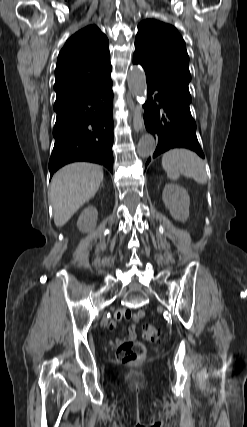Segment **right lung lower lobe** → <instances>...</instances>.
Segmentation results:
<instances>
[{"instance_id":"obj_1","label":"right lung lower lobe","mask_w":247,"mask_h":427,"mask_svg":"<svg viewBox=\"0 0 247 427\" xmlns=\"http://www.w3.org/2000/svg\"><path fill=\"white\" fill-rule=\"evenodd\" d=\"M113 92L109 79L91 90L56 100L50 178L65 164L88 161L113 170Z\"/></svg>"}]
</instances>
